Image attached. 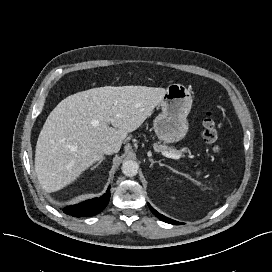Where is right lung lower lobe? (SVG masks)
Returning a JSON list of instances; mask_svg holds the SVG:
<instances>
[{
  "instance_id": "obj_1",
  "label": "right lung lower lobe",
  "mask_w": 272,
  "mask_h": 272,
  "mask_svg": "<svg viewBox=\"0 0 272 272\" xmlns=\"http://www.w3.org/2000/svg\"><path fill=\"white\" fill-rule=\"evenodd\" d=\"M109 200L110 187H108L103 196L86 200L76 205L68 206L63 209V212L74 217L93 216L101 212L107 206Z\"/></svg>"
}]
</instances>
